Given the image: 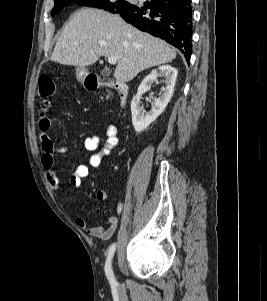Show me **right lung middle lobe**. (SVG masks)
I'll list each match as a JSON object with an SVG mask.
<instances>
[{"label":"right lung middle lobe","mask_w":267,"mask_h":301,"mask_svg":"<svg viewBox=\"0 0 267 301\" xmlns=\"http://www.w3.org/2000/svg\"><path fill=\"white\" fill-rule=\"evenodd\" d=\"M73 3L87 7L104 9L111 13H120L134 6L127 0H55V5L51 14L55 15L65 6Z\"/></svg>","instance_id":"dd1d6c3e"}]
</instances>
